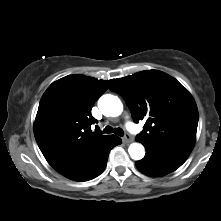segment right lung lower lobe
Here are the masks:
<instances>
[{"instance_id":"98d812e1","label":"right lung lower lobe","mask_w":221,"mask_h":221,"mask_svg":"<svg viewBox=\"0 0 221 221\" xmlns=\"http://www.w3.org/2000/svg\"><path fill=\"white\" fill-rule=\"evenodd\" d=\"M119 144H121V139L111 135L107 141L85 157L54 169L63 176L75 181L91 180L103 172L110 150Z\"/></svg>"}]
</instances>
